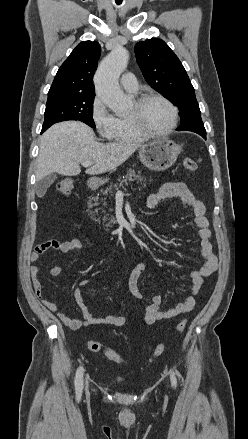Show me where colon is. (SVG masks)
Returning <instances> with one entry per match:
<instances>
[{"label": "colon", "mask_w": 248, "mask_h": 439, "mask_svg": "<svg viewBox=\"0 0 248 439\" xmlns=\"http://www.w3.org/2000/svg\"><path fill=\"white\" fill-rule=\"evenodd\" d=\"M183 167L187 174H191L196 171L197 169V163L194 159L191 158H185L183 160ZM74 183L73 180L70 178H65L61 180L57 185V190L65 195H68L73 190ZM186 328V320H181L175 328L176 333H181ZM88 347L93 352H101L103 353L109 360L112 362H115L117 364H123L124 359L123 357L116 351L104 346L103 344L97 342V341H89ZM166 350V344L161 343L159 344L153 351L152 357L156 358L161 356Z\"/></svg>", "instance_id": "5ec220e1"}]
</instances>
